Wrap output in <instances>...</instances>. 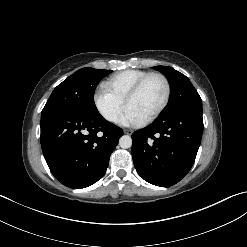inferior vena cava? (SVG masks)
Masks as SVG:
<instances>
[{"mask_svg": "<svg viewBox=\"0 0 247 247\" xmlns=\"http://www.w3.org/2000/svg\"><path fill=\"white\" fill-rule=\"evenodd\" d=\"M115 119H116V117H113V118H112V120H115Z\"/></svg>", "mask_w": 247, "mask_h": 247, "instance_id": "602c4592", "label": "inferior vena cava"}]
</instances>
